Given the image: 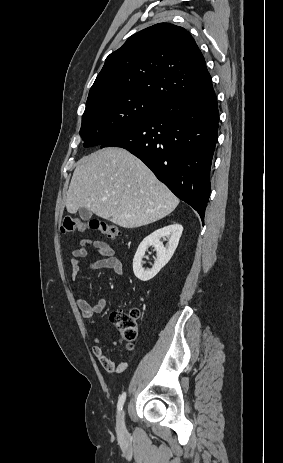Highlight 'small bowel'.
Returning a JSON list of instances; mask_svg holds the SVG:
<instances>
[{"label":"small bowel","instance_id":"c3829d8e","mask_svg":"<svg viewBox=\"0 0 283 463\" xmlns=\"http://www.w3.org/2000/svg\"><path fill=\"white\" fill-rule=\"evenodd\" d=\"M91 245L103 257L91 262L88 265L89 270L110 269L116 274L123 273V266L121 260L114 254V249L110 244L101 240L83 239L80 246L72 251L71 276L76 280L80 273V261L87 257V247ZM76 303L81 310L83 317L86 319L92 318L94 315L102 312L106 306L107 301L100 299L96 304H89L82 296L76 298ZM94 341L100 343L99 338L95 337ZM94 357L100 362L101 366L108 372L122 373L126 369V362H116L106 355L104 349L96 344L92 347Z\"/></svg>","mask_w":283,"mask_h":463}]
</instances>
